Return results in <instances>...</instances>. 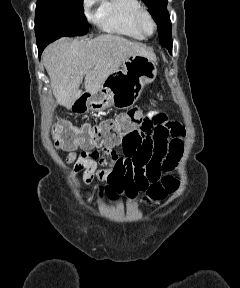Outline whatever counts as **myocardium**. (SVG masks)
I'll return each instance as SVG.
<instances>
[{
  "instance_id": "1",
  "label": "myocardium",
  "mask_w": 240,
  "mask_h": 288,
  "mask_svg": "<svg viewBox=\"0 0 240 288\" xmlns=\"http://www.w3.org/2000/svg\"><path fill=\"white\" fill-rule=\"evenodd\" d=\"M143 17H148L152 24H153V31L151 33H145L142 29L141 26V21ZM133 22H134V26L135 28L144 36V37H151L153 36L158 28V24L157 21L154 17V15L152 14V12L145 6H141L134 14V18H133Z\"/></svg>"
}]
</instances>
